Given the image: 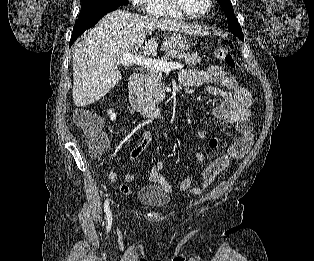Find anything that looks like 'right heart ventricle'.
Listing matches in <instances>:
<instances>
[{"instance_id": "obj_1", "label": "right heart ventricle", "mask_w": 314, "mask_h": 261, "mask_svg": "<svg viewBox=\"0 0 314 261\" xmlns=\"http://www.w3.org/2000/svg\"><path fill=\"white\" fill-rule=\"evenodd\" d=\"M151 15L158 17L182 18L175 9L171 7L168 0H153L148 11Z\"/></svg>"}]
</instances>
